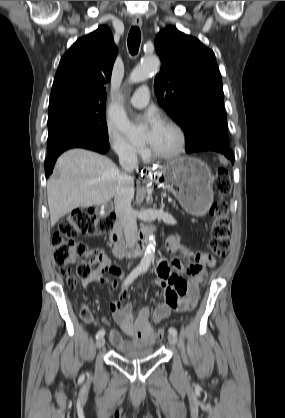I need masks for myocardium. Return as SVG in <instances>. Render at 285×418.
<instances>
[{
    "mask_svg": "<svg viewBox=\"0 0 285 418\" xmlns=\"http://www.w3.org/2000/svg\"><path fill=\"white\" fill-rule=\"evenodd\" d=\"M165 126L174 130L178 137V143L176 148L168 153L160 152L152 148V156L160 160H170L179 156L185 149L186 146V134L184 129L175 121L168 120L165 122Z\"/></svg>",
    "mask_w": 285,
    "mask_h": 418,
    "instance_id": "myocardium-1",
    "label": "myocardium"
}]
</instances>
